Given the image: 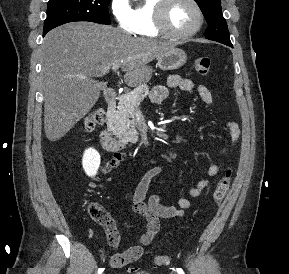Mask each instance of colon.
<instances>
[{
  "label": "colon",
  "mask_w": 289,
  "mask_h": 274,
  "mask_svg": "<svg viewBox=\"0 0 289 274\" xmlns=\"http://www.w3.org/2000/svg\"><path fill=\"white\" fill-rule=\"evenodd\" d=\"M212 60L208 56H201L195 59L194 68L196 72L200 75H207L211 69ZM105 118V112L102 109H96L89 114V116L85 119L83 128L86 131L93 130L97 125L101 124ZM232 178V169L228 168L222 178L219 180L214 193L213 199L216 204H220L230 187ZM89 214L93 220L97 223L101 224L110 235L111 238L115 236L116 228L114 221L110 217V215L97 203H91L89 205ZM167 261L166 257H159L156 259V264H163ZM139 268L136 266H130L128 268L129 272H138ZM138 274H146L144 272H140Z\"/></svg>",
  "instance_id": "5ec220e1"
}]
</instances>
